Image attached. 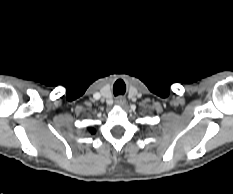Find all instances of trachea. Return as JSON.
Instances as JSON below:
<instances>
[{
	"mask_svg": "<svg viewBox=\"0 0 233 194\" xmlns=\"http://www.w3.org/2000/svg\"><path fill=\"white\" fill-rule=\"evenodd\" d=\"M125 90H126V87H125V84L123 81H117L114 84L113 92H114L115 96L120 95V94H124Z\"/></svg>",
	"mask_w": 233,
	"mask_h": 194,
	"instance_id": "1",
	"label": "trachea"
}]
</instances>
